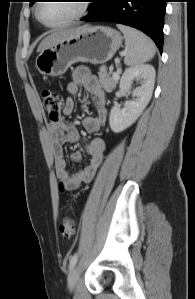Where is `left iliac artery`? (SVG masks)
I'll return each instance as SVG.
<instances>
[{
	"label": "left iliac artery",
	"instance_id": "1",
	"mask_svg": "<svg viewBox=\"0 0 195 299\" xmlns=\"http://www.w3.org/2000/svg\"><path fill=\"white\" fill-rule=\"evenodd\" d=\"M78 259V253L76 252L70 259V269L74 267Z\"/></svg>",
	"mask_w": 195,
	"mask_h": 299
}]
</instances>
